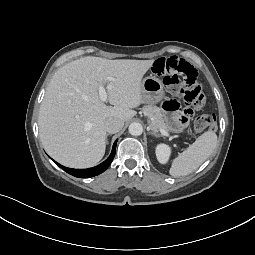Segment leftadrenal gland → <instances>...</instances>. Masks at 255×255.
I'll return each instance as SVG.
<instances>
[{
  "mask_svg": "<svg viewBox=\"0 0 255 255\" xmlns=\"http://www.w3.org/2000/svg\"><path fill=\"white\" fill-rule=\"evenodd\" d=\"M149 134L154 135L155 137H159V134H156L155 132L149 131Z\"/></svg>",
  "mask_w": 255,
  "mask_h": 255,
  "instance_id": "1",
  "label": "left adrenal gland"
}]
</instances>
